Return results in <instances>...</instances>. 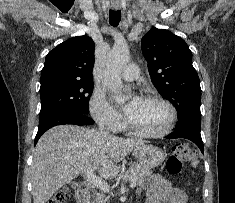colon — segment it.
<instances>
[{"instance_id":"5ec220e1","label":"colon","mask_w":235,"mask_h":203,"mask_svg":"<svg viewBox=\"0 0 235 203\" xmlns=\"http://www.w3.org/2000/svg\"><path fill=\"white\" fill-rule=\"evenodd\" d=\"M197 161L195 150L187 144H176L173 146L171 153L167 159L166 167L169 173L179 174L187 165H194ZM69 190L68 188L60 189L48 203H68Z\"/></svg>"}]
</instances>
